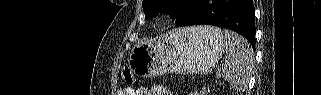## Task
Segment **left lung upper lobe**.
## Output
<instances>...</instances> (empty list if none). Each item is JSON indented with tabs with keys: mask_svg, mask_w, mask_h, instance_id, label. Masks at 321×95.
Instances as JSON below:
<instances>
[{
	"mask_svg": "<svg viewBox=\"0 0 321 95\" xmlns=\"http://www.w3.org/2000/svg\"><path fill=\"white\" fill-rule=\"evenodd\" d=\"M186 2L187 0H143L142 7L146 19L156 17L162 11L174 18Z\"/></svg>",
	"mask_w": 321,
	"mask_h": 95,
	"instance_id": "left-lung-upper-lobe-1",
	"label": "left lung upper lobe"
}]
</instances>
